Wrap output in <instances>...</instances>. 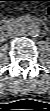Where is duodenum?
<instances>
[{
	"instance_id": "obj_1",
	"label": "duodenum",
	"mask_w": 50,
	"mask_h": 111,
	"mask_svg": "<svg viewBox=\"0 0 50 111\" xmlns=\"http://www.w3.org/2000/svg\"><path fill=\"white\" fill-rule=\"evenodd\" d=\"M37 23H38V22H37ZM4 36H5V32L3 31V32H2V37H4Z\"/></svg>"
}]
</instances>
